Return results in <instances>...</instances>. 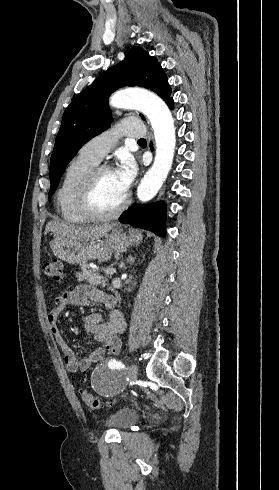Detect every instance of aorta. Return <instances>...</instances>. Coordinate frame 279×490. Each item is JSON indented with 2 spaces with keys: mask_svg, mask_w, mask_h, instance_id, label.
Masks as SVG:
<instances>
[{
  "mask_svg": "<svg viewBox=\"0 0 279 490\" xmlns=\"http://www.w3.org/2000/svg\"><path fill=\"white\" fill-rule=\"evenodd\" d=\"M110 105L115 108L141 111L147 116L153 128L156 143L155 159L137 189L138 199L147 202L158 193L172 166L176 145L172 114L162 99L148 91L116 92L110 98Z\"/></svg>",
  "mask_w": 279,
  "mask_h": 490,
  "instance_id": "aorta-1",
  "label": "aorta"
}]
</instances>
